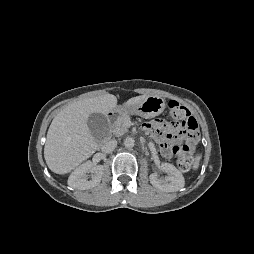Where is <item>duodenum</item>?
Wrapping results in <instances>:
<instances>
[{
    "mask_svg": "<svg viewBox=\"0 0 254 254\" xmlns=\"http://www.w3.org/2000/svg\"><path fill=\"white\" fill-rule=\"evenodd\" d=\"M120 114H121V111H119V110L111 111L108 114V120L113 121L116 117L120 116Z\"/></svg>",
    "mask_w": 254,
    "mask_h": 254,
    "instance_id": "1",
    "label": "duodenum"
}]
</instances>
